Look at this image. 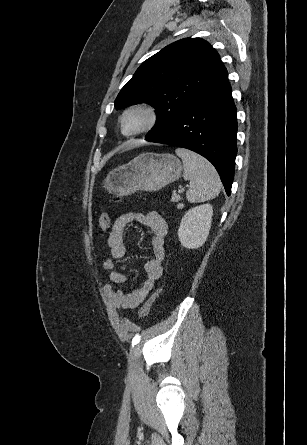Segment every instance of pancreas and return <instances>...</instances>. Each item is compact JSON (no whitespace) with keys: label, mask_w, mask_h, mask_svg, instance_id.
I'll return each instance as SVG.
<instances>
[{"label":"pancreas","mask_w":307,"mask_h":445,"mask_svg":"<svg viewBox=\"0 0 307 445\" xmlns=\"http://www.w3.org/2000/svg\"><path fill=\"white\" fill-rule=\"evenodd\" d=\"M171 200L172 202H179V200H181L180 194H172Z\"/></svg>","instance_id":"pancreas-1"}]
</instances>
